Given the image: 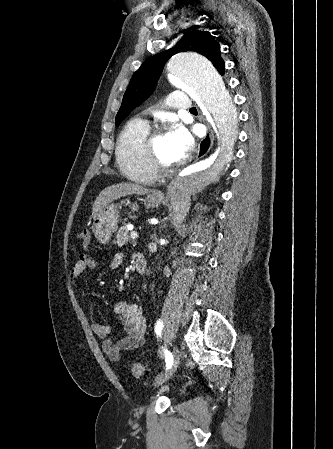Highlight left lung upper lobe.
<instances>
[{"label": "left lung upper lobe", "mask_w": 333, "mask_h": 449, "mask_svg": "<svg viewBox=\"0 0 333 449\" xmlns=\"http://www.w3.org/2000/svg\"><path fill=\"white\" fill-rule=\"evenodd\" d=\"M184 51H194L204 55L221 74H224L225 63L220 56V45L215 40V36L208 31H187L173 48L148 58L134 73L117 113L116 125H119L136 106L153 92L168 59L172 55Z\"/></svg>", "instance_id": "obj_1"}]
</instances>
